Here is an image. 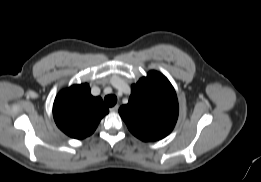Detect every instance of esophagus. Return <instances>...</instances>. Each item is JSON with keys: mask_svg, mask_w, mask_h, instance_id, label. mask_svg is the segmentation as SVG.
I'll return each instance as SVG.
<instances>
[{"mask_svg": "<svg viewBox=\"0 0 261 182\" xmlns=\"http://www.w3.org/2000/svg\"><path fill=\"white\" fill-rule=\"evenodd\" d=\"M119 106L118 105H115L113 106L112 108H110V111L111 112H116L118 110Z\"/></svg>", "mask_w": 261, "mask_h": 182, "instance_id": "34e87169", "label": "esophagus"}]
</instances>
